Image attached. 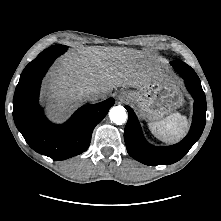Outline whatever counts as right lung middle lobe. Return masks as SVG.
<instances>
[{
  "instance_id": "dd1d6c3e",
  "label": "right lung middle lobe",
  "mask_w": 221,
  "mask_h": 221,
  "mask_svg": "<svg viewBox=\"0 0 221 221\" xmlns=\"http://www.w3.org/2000/svg\"><path fill=\"white\" fill-rule=\"evenodd\" d=\"M52 47H53V48H60V49H67L66 46H64V45H59V44L54 45V46H52Z\"/></svg>"
}]
</instances>
